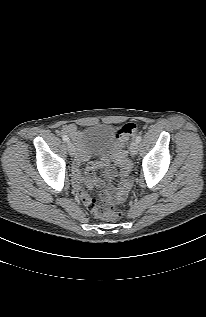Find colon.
Wrapping results in <instances>:
<instances>
[{
    "label": "colon",
    "instance_id": "5ec220e1",
    "mask_svg": "<svg viewBox=\"0 0 206 317\" xmlns=\"http://www.w3.org/2000/svg\"><path fill=\"white\" fill-rule=\"evenodd\" d=\"M136 133V125L134 123H127L123 125L119 131L118 135L127 138L133 136ZM116 162L119 165L122 174L129 175L131 172V164L124 152H121L116 157ZM90 211L99 218L105 220H116L121 217V212L115 210L110 203L102 202L98 203L95 200L93 201Z\"/></svg>",
    "mask_w": 206,
    "mask_h": 317
}]
</instances>
